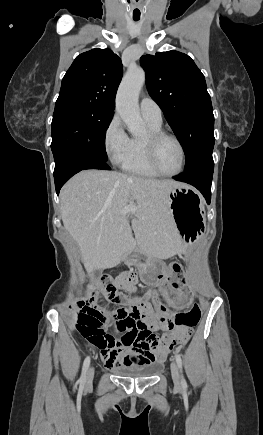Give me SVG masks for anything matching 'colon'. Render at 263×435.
Here are the masks:
<instances>
[{
	"mask_svg": "<svg viewBox=\"0 0 263 435\" xmlns=\"http://www.w3.org/2000/svg\"><path fill=\"white\" fill-rule=\"evenodd\" d=\"M102 284L107 290L108 298L119 300L123 296L117 292L109 277L102 278ZM201 315L199 305L194 304L185 311L175 314L174 321H189L191 328L189 330H176L173 334L177 336L180 345L186 342L191 334V329L198 323ZM173 321V322H174ZM104 319L102 313L98 312H80L78 315L77 328L79 332L95 344L97 350H165L168 339L155 337L153 332L148 328H125L124 333L113 339L107 335L104 330Z\"/></svg>",
	"mask_w": 263,
	"mask_h": 435,
	"instance_id": "5ec220e1",
	"label": "colon"
}]
</instances>
